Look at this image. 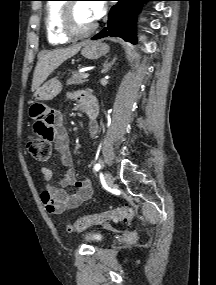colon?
Returning a JSON list of instances; mask_svg holds the SVG:
<instances>
[{
  "instance_id": "5ec220e1",
  "label": "colon",
  "mask_w": 216,
  "mask_h": 285,
  "mask_svg": "<svg viewBox=\"0 0 216 285\" xmlns=\"http://www.w3.org/2000/svg\"><path fill=\"white\" fill-rule=\"evenodd\" d=\"M27 149L30 155L38 161H46L51 155L50 141H42V136H35V133L29 138ZM133 219V208L125 204L105 212L80 217L67 229L69 232H82L92 225H101L111 221L131 223Z\"/></svg>"
}]
</instances>
